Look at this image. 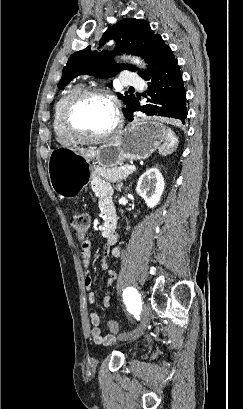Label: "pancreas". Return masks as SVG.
I'll use <instances>...</instances> for the list:
<instances>
[{
    "label": "pancreas",
    "mask_w": 243,
    "mask_h": 409,
    "mask_svg": "<svg viewBox=\"0 0 243 409\" xmlns=\"http://www.w3.org/2000/svg\"><path fill=\"white\" fill-rule=\"evenodd\" d=\"M128 165L121 167H98L94 170V175L103 178V183H116L126 179L134 170L127 169Z\"/></svg>",
    "instance_id": "pancreas-1"
}]
</instances>
